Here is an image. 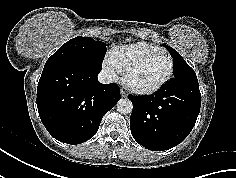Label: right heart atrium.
Returning a JSON list of instances; mask_svg holds the SVG:
<instances>
[{"label": "right heart atrium", "mask_w": 236, "mask_h": 178, "mask_svg": "<svg viewBox=\"0 0 236 178\" xmlns=\"http://www.w3.org/2000/svg\"><path fill=\"white\" fill-rule=\"evenodd\" d=\"M103 69L108 74V76L112 80H116L118 78L119 71L117 68L111 63L109 58H105L103 61Z\"/></svg>", "instance_id": "d8ad5b80"}]
</instances>
